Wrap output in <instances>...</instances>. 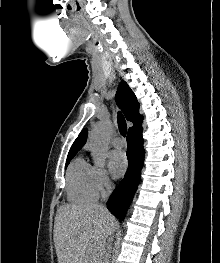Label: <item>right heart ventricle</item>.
<instances>
[{"instance_id": "obj_1", "label": "right heart ventricle", "mask_w": 220, "mask_h": 263, "mask_svg": "<svg viewBox=\"0 0 220 263\" xmlns=\"http://www.w3.org/2000/svg\"><path fill=\"white\" fill-rule=\"evenodd\" d=\"M67 197L74 203L94 202L98 198L95 167L81 156L75 158L67 172Z\"/></svg>"}]
</instances>
